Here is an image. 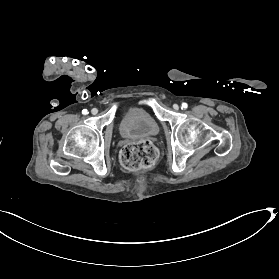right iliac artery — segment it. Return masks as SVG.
<instances>
[{
  "instance_id": "1",
  "label": "right iliac artery",
  "mask_w": 279,
  "mask_h": 279,
  "mask_svg": "<svg viewBox=\"0 0 279 279\" xmlns=\"http://www.w3.org/2000/svg\"><path fill=\"white\" fill-rule=\"evenodd\" d=\"M88 113L87 109L82 110V114L86 115Z\"/></svg>"
}]
</instances>
